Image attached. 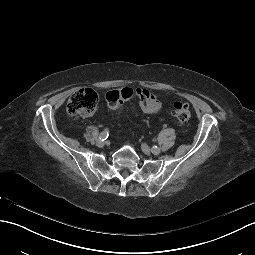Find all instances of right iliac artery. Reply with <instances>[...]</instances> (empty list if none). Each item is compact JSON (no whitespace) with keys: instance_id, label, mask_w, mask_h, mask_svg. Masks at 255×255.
<instances>
[{"instance_id":"82829eb1","label":"right iliac artery","mask_w":255,"mask_h":255,"mask_svg":"<svg viewBox=\"0 0 255 255\" xmlns=\"http://www.w3.org/2000/svg\"><path fill=\"white\" fill-rule=\"evenodd\" d=\"M108 136H109V131L104 130L103 132L100 133L99 139L104 141L108 138Z\"/></svg>"}]
</instances>
